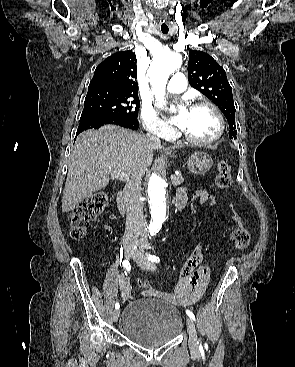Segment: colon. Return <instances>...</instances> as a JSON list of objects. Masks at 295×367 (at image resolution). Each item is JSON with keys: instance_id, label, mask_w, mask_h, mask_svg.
<instances>
[{"instance_id": "5ec220e1", "label": "colon", "mask_w": 295, "mask_h": 367, "mask_svg": "<svg viewBox=\"0 0 295 367\" xmlns=\"http://www.w3.org/2000/svg\"><path fill=\"white\" fill-rule=\"evenodd\" d=\"M231 184L232 175L230 164L228 161L222 160L218 163L217 167L216 185L220 189H227L231 186ZM189 199V203L191 205L188 208L189 211L198 212L205 211L207 208H209V206L217 205L219 198L216 195L203 196L201 198L203 201H205L203 202L198 198V196L191 195ZM108 200V194L106 192L100 191L88 196L75 207L69 216L71 236L74 239L79 240L85 236L88 226L105 210ZM203 203L204 205L200 206ZM232 219L236 224V227L231 235L233 244L237 250H245L250 243L249 232L242 226L239 214L233 209ZM140 286L146 294L153 293L149 281L144 279L140 280Z\"/></svg>"}]
</instances>
